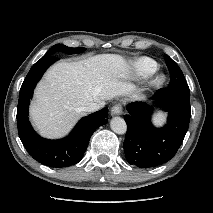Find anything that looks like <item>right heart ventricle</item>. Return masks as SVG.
Masks as SVG:
<instances>
[{"label": "right heart ventricle", "instance_id": "e07e8e85", "mask_svg": "<svg viewBox=\"0 0 213 213\" xmlns=\"http://www.w3.org/2000/svg\"><path fill=\"white\" fill-rule=\"evenodd\" d=\"M158 68V64L151 58L141 57L133 63V70L138 77H147L153 74Z\"/></svg>", "mask_w": 213, "mask_h": 213}]
</instances>
